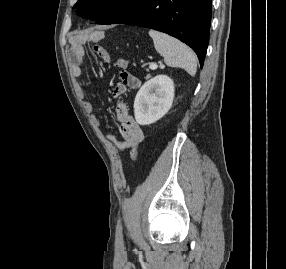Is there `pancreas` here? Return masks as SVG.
Listing matches in <instances>:
<instances>
[{"label":"pancreas","instance_id":"cf45deb5","mask_svg":"<svg viewBox=\"0 0 286 269\" xmlns=\"http://www.w3.org/2000/svg\"><path fill=\"white\" fill-rule=\"evenodd\" d=\"M150 77V74H148L147 76H146V78L148 79Z\"/></svg>","mask_w":286,"mask_h":269}]
</instances>
